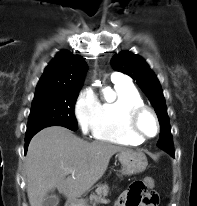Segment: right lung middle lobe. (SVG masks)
Returning <instances> with one entry per match:
<instances>
[{"mask_svg":"<svg viewBox=\"0 0 197 206\" xmlns=\"http://www.w3.org/2000/svg\"><path fill=\"white\" fill-rule=\"evenodd\" d=\"M79 90L36 91L28 118L26 137L49 126H63L76 131L74 105Z\"/></svg>","mask_w":197,"mask_h":206,"instance_id":"1","label":"right lung middle lobe"}]
</instances>
